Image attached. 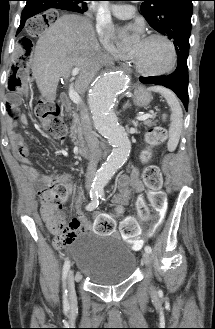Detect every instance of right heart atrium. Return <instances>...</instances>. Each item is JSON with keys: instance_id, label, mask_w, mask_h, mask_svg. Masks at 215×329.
Instances as JSON below:
<instances>
[{"instance_id": "1", "label": "right heart atrium", "mask_w": 215, "mask_h": 329, "mask_svg": "<svg viewBox=\"0 0 215 329\" xmlns=\"http://www.w3.org/2000/svg\"><path fill=\"white\" fill-rule=\"evenodd\" d=\"M96 31L103 45L115 58L124 57L115 44L114 30L110 24L99 21L97 22Z\"/></svg>"}]
</instances>
